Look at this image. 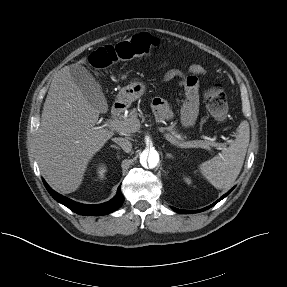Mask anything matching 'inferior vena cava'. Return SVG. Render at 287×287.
Instances as JSON below:
<instances>
[{"label": "inferior vena cava", "instance_id": "obj_1", "mask_svg": "<svg viewBox=\"0 0 287 287\" xmlns=\"http://www.w3.org/2000/svg\"><path fill=\"white\" fill-rule=\"evenodd\" d=\"M115 143H117L126 153H129L132 149V143L124 138H113Z\"/></svg>", "mask_w": 287, "mask_h": 287}]
</instances>
